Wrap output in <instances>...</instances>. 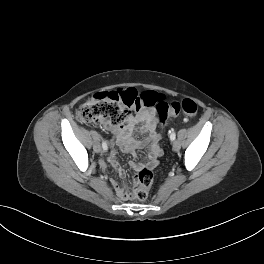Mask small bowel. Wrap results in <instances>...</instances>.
I'll return each mask as SVG.
<instances>
[{"label": "small bowel", "instance_id": "c3829d8e", "mask_svg": "<svg viewBox=\"0 0 264 264\" xmlns=\"http://www.w3.org/2000/svg\"><path fill=\"white\" fill-rule=\"evenodd\" d=\"M157 116L153 109L142 110L135 115H129L126 123L115 129L116 142L124 152H134L141 147V142L131 137L132 132L135 129H139L141 132L147 133L146 144L149 147L148 160L144 165L131 162L130 166L134 170H139L142 167L153 168L158 163V158L161 155V149L159 146V136L156 132ZM110 164L118 171L122 176L123 171L120 164L117 161V154L112 151L108 156ZM116 194L120 199L130 198V191L126 185L120 186L117 182H113Z\"/></svg>", "mask_w": 264, "mask_h": 264}]
</instances>
